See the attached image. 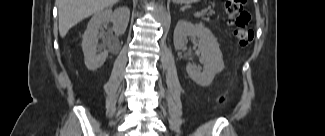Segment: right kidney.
<instances>
[{
  "label": "right kidney",
  "instance_id": "obj_1",
  "mask_svg": "<svg viewBox=\"0 0 325 136\" xmlns=\"http://www.w3.org/2000/svg\"><path fill=\"white\" fill-rule=\"evenodd\" d=\"M129 17L130 10L127 7H119L114 11L110 8L101 10L91 18L82 41L84 61L89 70H97L104 64L108 57L107 50H97L96 41L100 27L109 23V21H112L114 24L113 30L115 34L122 35L128 26Z\"/></svg>",
  "mask_w": 325,
  "mask_h": 136
}]
</instances>
